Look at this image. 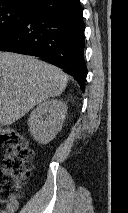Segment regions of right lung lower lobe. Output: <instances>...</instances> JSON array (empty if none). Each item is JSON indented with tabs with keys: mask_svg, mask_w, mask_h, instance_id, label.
<instances>
[{
	"mask_svg": "<svg viewBox=\"0 0 128 213\" xmlns=\"http://www.w3.org/2000/svg\"><path fill=\"white\" fill-rule=\"evenodd\" d=\"M0 50L38 56L71 74L85 89L84 23L79 0H39Z\"/></svg>",
	"mask_w": 128,
	"mask_h": 213,
	"instance_id": "right-lung-lower-lobe-1",
	"label": "right lung lower lobe"
}]
</instances>
